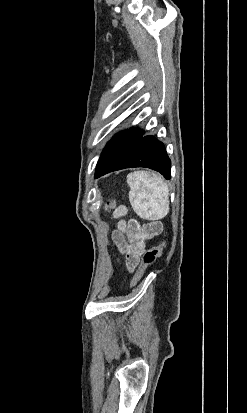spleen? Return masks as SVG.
Segmentation results:
<instances>
[{
    "mask_svg": "<svg viewBox=\"0 0 247 413\" xmlns=\"http://www.w3.org/2000/svg\"><path fill=\"white\" fill-rule=\"evenodd\" d=\"M130 186L129 200L133 209L148 213L150 221L163 219L169 213V186L161 174L147 172V170H134L127 174ZM146 204V209H144ZM149 207V211H148Z\"/></svg>",
    "mask_w": 247,
    "mask_h": 413,
    "instance_id": "obj_1",
    "label": "spleen"
}]
</instances>
